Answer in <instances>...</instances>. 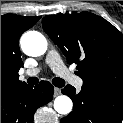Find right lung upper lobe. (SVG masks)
<instances>
[{"mask_svg":"<svg viewBox=\"0 0 123 123\" xmlns=\"http://www.w3.org/2000/svg\"><path fill=\"white\" fill-rule=\"evenodd\" d=\"M40 18V16L28 17L13 14L1 16V92H14L28 86L19 80L18 75L19 69L23 67L19 38Z\"/></svg>","mask_w":123,"mask_h":123,"instance_id":"right-lung-upper-lobe-1","label":"right lung upper lobe"}]
</instances>
